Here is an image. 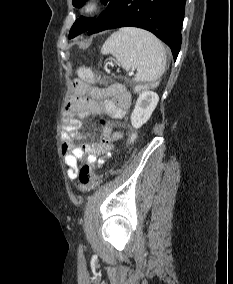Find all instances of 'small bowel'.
Segmentation results:
<instances>
[{
  "instance_id": "c3829d8e",
  "label": "small bowel",
  "mask_w": 233,
  "mask_h": 284,
  "mask_svg": "<svg viewBox=\"0 0 233 284\" xmlns=\"http://www.w3.org/2000/svg\"><path fill=\"white\" fill-rule=\"evenodd\" d=\"M130 102L129 91L121 85L99 88L82 80L72 82L71 93L65 105L67 123L61 147L68 178L75 179L85 163L101 167L104 164L103 157L111 156L114 142L121 136L105 124L102 126L100 142L75 144V140L82 138L81 120L90 114H107L112 119L119 120L125 115Z\"/></svg>"
}]
</instances>
